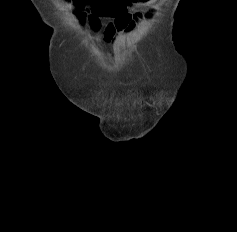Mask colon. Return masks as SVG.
<instances>
[{
  "label": "colon",
  "mask_w": 237,
  "mask_h": 232,
  "mask_svg": "<svg viewBox=\"0 0 237 232\" xmlns=\"http://www.w3.org/2000/svg\"><path fill=\"white\" fill-rule=\"evenodd\" d=\"M87 1L92 4L91 17L94 21L97 16H115L118 15L127 5L143 2V0H75L79 9H82ZM80 16L83 18L84 13H80Z\"/></svg>",
  "instance_id": "colon-1"
}]
</instances>
